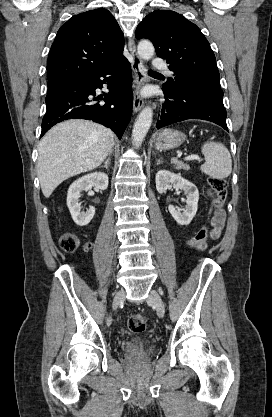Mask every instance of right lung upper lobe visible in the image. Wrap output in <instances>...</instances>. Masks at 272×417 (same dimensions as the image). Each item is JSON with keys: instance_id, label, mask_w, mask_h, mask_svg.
Here are the masks:
<instances>
[{"instance_id": "obj_1", "label": "right lung upper lobe", "mask_w": 272, "mask_h": 417, "mask_svg": "<svg viewBox=\"0 0 272 417\" xmlns=\"http://www.w3.org/2000/svg\"><path fill=\"white\" fill-rule=\"evenodd\" d=\"M124 35L113 15L95 9L70 18L50 49L48 86L97 72L122 56Z\"/></svg>"}]
</instances>
